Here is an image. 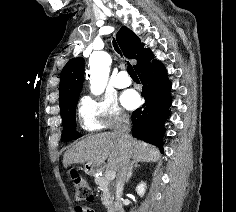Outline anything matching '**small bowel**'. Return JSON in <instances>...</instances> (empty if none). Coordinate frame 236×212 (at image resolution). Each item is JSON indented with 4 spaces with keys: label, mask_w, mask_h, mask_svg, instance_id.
Listing matches in <instances>:
<instances>
[{
    "label": "small bowel",
    "mask_w": 236,
    "mask_h": 212,
    "mask_svg": "<svg viewBox=\"0 0 236 212\" xmlns=\"http://www.w3.org/2000/svg\"><path fill=\"white\" fill-rule=\"evenodd\" d=\"M75 212H91L89 205H76Z\"/></svg>",
    "instance_id": "small-bowel-1"
}]
</instances>
